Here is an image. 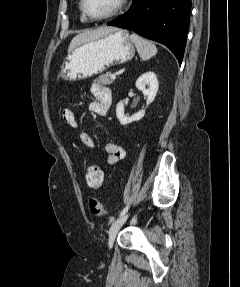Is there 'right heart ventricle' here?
Returning a JSON list of instances; mask_svg holds the SVG:
<instances>
[{
	"label": "right heart ventricle",
	"instance_id": "obj_1",
	"mask_svg": "<svg viewBox=\"0 0 240 287\" xmlns=\"http://www.w3.org/2000/svg\"><path fill=\"white\" fill-rule=\"evenodd\" d=\"M79 10H80L81 20L86 21V17H85V15L83 14V12L81 10V0L79 1Z\"/></svg>",
	"mask_w": 240,
	"mask_h": 287
}]
</instances>
